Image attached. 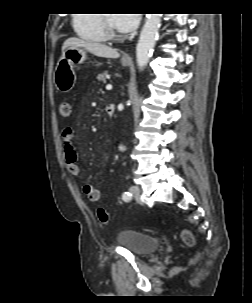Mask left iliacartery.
Wrapping results in <instances>:
<instances>
[{"label": "left iliac artery", "instance_id": "obj_1", "mask_svg": "<svg viewBox=\"0 0 252 303\" xmlns=\"http://www.w3.org/2000/svg\"><path fill=\"white\" fill-rule=\"evenodd\" d=\"M131 198V194L129 192H125L123 195H122V199L123 200H129Z\"/></svg>", "mask_w": 252, "mask_h": 303}]
</instances>
